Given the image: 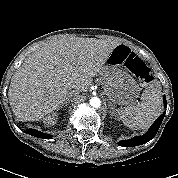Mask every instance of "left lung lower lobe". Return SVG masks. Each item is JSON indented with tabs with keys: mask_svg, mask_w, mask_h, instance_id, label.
<instances>
[{
	"mask_svg": "<svg viewBox=\"0 0 178 178\" xmlns=\"http://www.w3.org/2000/svg\"><path fill=\"white\" fill-rule=\"evenodd\" d=\"M163 102H164V107H166L167 101H166L165 96L163 98ZM164 115H165V112H163V114L153 123V125L150 127V129L147 131V133H145L144 135L136 136L129 140L120 141L118 144L120 146H124V147H134V146H139V145L147 143L148 141L153 139L154 136L156 135V133L162 123V120L164 118Z\"/></svg>",
	"mask_w": 178,
	"mask_h": 178,
	"instance_id": "0a47b994",
	"label": "left lung lower lobe"
}]
</instances>
